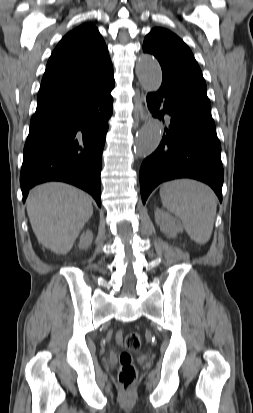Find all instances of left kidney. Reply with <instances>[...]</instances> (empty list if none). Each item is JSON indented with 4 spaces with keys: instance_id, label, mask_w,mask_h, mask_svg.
Instances as JSON below:
<instances>
[{
    "instance_id": "left-kidney-1",
    "label": "left kidney",
    "mask_w": 253,
    "mask_h": 413,
    "mask_svg": "<svg viewBox=\"0 0 253 413\" xmlns=\"http://www.w3.org/2000/svg\"><path fill=\"white\" fill-rule=\"evenodd\" d=\"M155 222L160 227V230L169 238H174L178 233L183 231L179 220L160 209L155 211Z\"/></svg>"
}]
</instances>
